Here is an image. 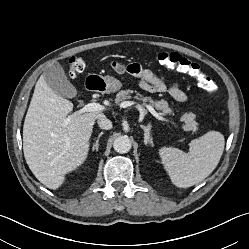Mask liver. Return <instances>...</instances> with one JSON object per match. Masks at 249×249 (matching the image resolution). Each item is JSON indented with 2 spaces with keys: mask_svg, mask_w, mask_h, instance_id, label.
Instances as JSON below:
<instances>
[{
  "mask_svg": "<svg viewBox=\"0 0 249 249\" xmlns=\"http://www.w3.org/2000/svg\"><path fill=\"white\" fill-rule=\"evenodd\" d=\"M72 110V102L57 95L41 76L24 121L23 151L32 173L49 189L60 187L65 175L86 160L94 122L105 116L93 111L66 124Z\"/></svg>",
  "mask_w": 249,
  "mask_h": 249,
  "instance_id": "obj_1",
  "label": "liver"
}]
</instances>
